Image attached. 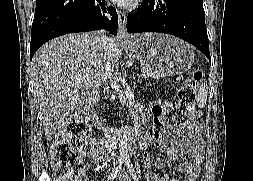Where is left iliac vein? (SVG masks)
<instances>
[{
  "instance_id": "obj_1",
  "label": "left iliac vein",
  "mask_w": 253,
  "mask_h": 181,
  "mask_svg": "<svg viewBox=\"0 0 253 181\" xmlns=\"http://www.w3.org/2000/svg\"><path fill=\"white\" fill-rule=\"evenodd\" d=\"M124 181H131L129 176L126 173L124 174Z\"/></svg>"
}]
</instances>
